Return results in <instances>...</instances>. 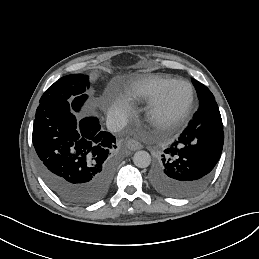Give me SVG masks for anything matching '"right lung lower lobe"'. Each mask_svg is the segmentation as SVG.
I'll list each match as a JSON object with an SVG mask.
<instances>
[{"instance_id":"obj_1","label":"right lung lower lobe","mask_w":259,"mask_h":259,"mask_svg":"<svg viewBox=\"0 0 259 259\" xmlns=\"http://www.w3.org/2000/svg\"><path fill=\"white\" fill-rule=\"evenodd\" d=\"M70 101L41 103L33 124L37 167L44 181L63 201L84 206L110 190L115 137L95 117L76 120Z\"/></svg>"}]
</instances>
